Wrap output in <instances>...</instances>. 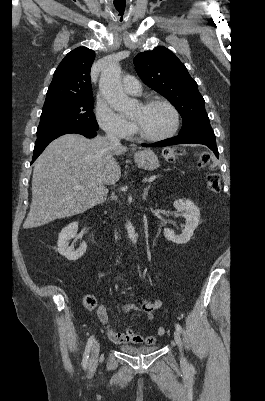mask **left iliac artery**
<instances>
[{
	"label": "left iliac artery",
	"mask_w": 265,
	"mask_h": 401,
	"mask_svg": "<svg viewBox=\"0 0 265 401\" xmlns=\"http://www.w3.org/2000/svg\"><path fill=\"white\" fill-rule=\"evenodd\" d=\"M175 328H176L177 331L182 332V327H181V325L179 323L175 324ZM190 367H193V366L190 365Z\"/></svg>",
	"instance_id": "44dca946"
}]
</instances>
